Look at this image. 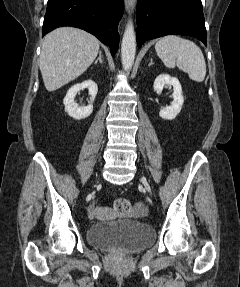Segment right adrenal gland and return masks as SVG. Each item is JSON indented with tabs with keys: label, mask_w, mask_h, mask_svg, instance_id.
<instances>
[{
	"label": "right adrenal gland",
	"mask_w": 240,
	"mask_h": 287,
	"mask_svg": "<svg viewBox=\"0 0 240 287\" xmlns=\"http://www.w3.org/2000/svg\"><path fill=\"white\" fill-rule=\"evenodd\" d=\"M100 62V63H102L103 61H102V51H99V57L97 58V60L94 62L95 64H97V62Z\"/></svg>",
	"instance_id": "2a0ac1e0"
}]
</instances>
